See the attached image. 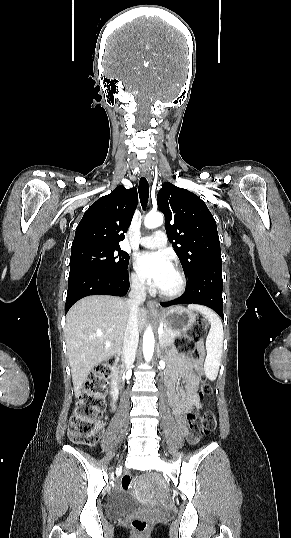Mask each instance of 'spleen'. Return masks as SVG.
Segmentation results:
<instances>
[{
    "label": "spleen",
    "instance_id": "1",
    "mask_svg": "<svg viewBox=\"0 0 291 538\" xmlns=\"http://www.w3.org/2000/svg\"><path fill=\"white\" fill-rule=\"evenodd\" d=\"M190 310H196L203 314L211 324L210 331L206 338L207 356L205 359V373L211 380H215L218 375V370L221 362L222 347H223V326L218 316L209 308L201 305L191 304L188 306Z\"/></svg>",
    "mask_w": 291,
    "mask_h": 538
}]
</instances>
